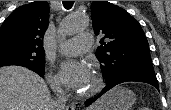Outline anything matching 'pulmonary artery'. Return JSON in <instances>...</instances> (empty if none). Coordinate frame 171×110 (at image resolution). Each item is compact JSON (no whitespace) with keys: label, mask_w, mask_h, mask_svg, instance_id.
Instances as JSON below:
<instances>
[{"label":"pulmonary artery","mask_w":171,"mask_h":110,"mask_svg":"<svg viewBox=\"0 0 171 110\" xmlns=\"http://www.w3.org/2000/svg\"><path fill=\"white\" fill-rule=\"evenodd\" d=\"M93 45V37L90 33H81L76 37L68 39L60 46L64 55L75 56L89 50Z\"/></svg>","instance_id":"e3ab8cb5"}]
</instances>
